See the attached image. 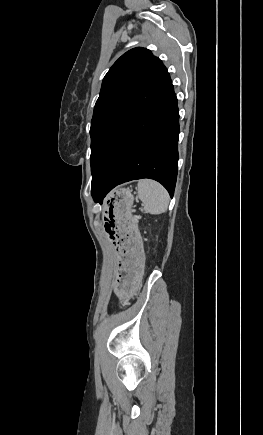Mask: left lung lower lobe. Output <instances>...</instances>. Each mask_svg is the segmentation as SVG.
I'll list each match as a JSON object with an SVG mask.
<instances>
[{
    "label": "left lung lower lobe",
    "instance_id": "obj_1",
    "mask_svg": "<svg viewBox=\"0 0 263 435\" xmlns=\"http://www.w3.org/2000/svg\"><path fill=\"white\" fill-rule=\"evenodd\" d=\"M179 135L177 98L170 81L117 139L92 180L95 202L118 184L151 178L174 194Z\"/></svg>",
    "mask_w": 263,
    "mask_h": 435
}]
</instances>
